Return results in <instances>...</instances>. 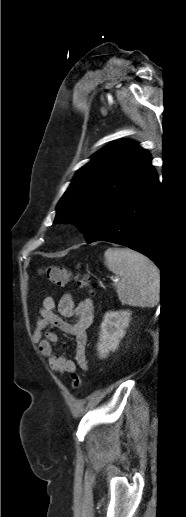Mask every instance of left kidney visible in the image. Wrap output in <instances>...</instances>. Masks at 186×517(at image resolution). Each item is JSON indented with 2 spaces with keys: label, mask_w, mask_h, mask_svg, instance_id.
I'll use <instances>...</instances> for the list:
<instances>
[{
  "label": "left kidney",
  "mask_w": 186,
  "mask_h": 517,
  "mask_svg": "<svg viewBox=\"0 0 186 517\" xmlns=\"http://www.w3.org/2000/svg\"><path fill=\"white\" fill-rule=\"evenodd\" d=\"M131 312L109 311L104 315L100 326V336L97 351L101 359L106 358L110 351H115L120 340L125 336V329L129 326Z\"/></svg>",
  "instance_id": "1"
}]
</instances>
